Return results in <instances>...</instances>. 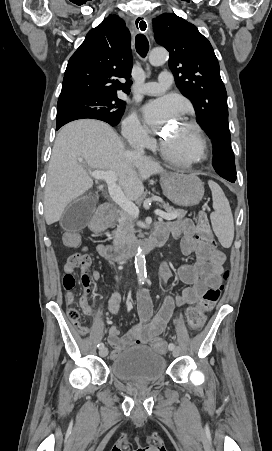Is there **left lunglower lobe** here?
I'll list each match as a JSON object with an SVG mask.
<instances>
[{
	"label": "left lung lower lobe",
	"instance_id": "obj_1",
	"mask_svg": "<svg viewBox=\"0 0 272 451\" xmlns=\"http://www.w3.org/2000/svg\"><path fill=\"white\" fill-rule=\"evenodd\" d=\"M225 179L230 181V182H234L236 180V178H225Z\"/></svg>",
	"mask_w": 272,
	"mask_h": 451
}]
</instances>
